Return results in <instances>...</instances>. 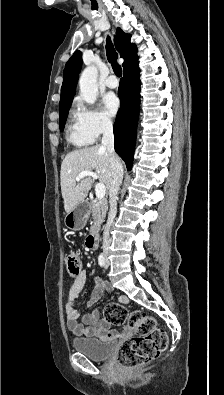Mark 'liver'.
<instances>
[{
	"instance_id": "6515ba94",
	"label": "liver",
	"mask_w": 224,
	"mask_h": 395,
	"mask_svg": "<svg viewBox=\"0 0 224 395\" xmlns=\"http://www.w3.org/2000/svg\"><path fill=\"white\" fill-rule=\"evenodd\" d=\"M82 171H94L98 176L99 183L109 189L112 176L107 150L101 145H94L74 150L63 159L60 180L66 213L84 201L94 182L91 177H84L77 183L76 177Z\"/></svg>"
}]
</instances>
